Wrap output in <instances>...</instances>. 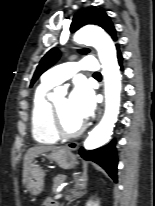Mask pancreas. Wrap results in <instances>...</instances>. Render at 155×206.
Listing matches in <instances>:
<instances>
[{"label":"pancreas","mask_w":155,"mask_h":206,"mask_svg":"<svg viewBox=\"0 0 155 206\" xmlns=\"http://www.w3.org/2000/svg\"><path fill=\"white\" fill-rule=\"evenodd\" d=\"M65 181L64 175H58L53 179L52 190L55 191Z\"/></svg>","instance_id":"pancreas-1"}]
</instances>
